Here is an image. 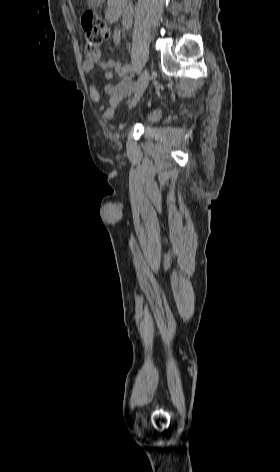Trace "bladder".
<instances>
[{"mask_svg": "<svg viewBox=\"0 0 280 472\" xmlns=\"http://www.w3.org/2000/svg\"><path fill=\"white\" fill-rule=\"evenodd\" d=\"M163 110L160 106L153 105L141 110L134 118V122L142 125H150L159 121Z\"/></svg>", "mask_w": 280, "mask_h": 472, "instance_id": "1", "label": "bladder"}]
</instances>
